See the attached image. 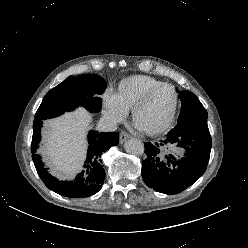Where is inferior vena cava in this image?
<instances>
[{
	"label": "inferior vena cava",
	"instance_id": "602c4592",
	"mask_svg": "<svg viewBox=\"0 0 248 248\" xmlns=\"http://www.w3.org/2000/svg\"><path fill=\"white\" fill-rule=\"evenodd\" d=\"M97 129L102 132H110L117 130V123L108 117H102L98 123Z\"/></svg>",
	"mask_w": 248,
	"mask_h": 248
}]
</instances>
